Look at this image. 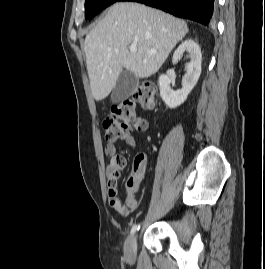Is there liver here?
<instances>
[{
  "instance_id": "obj_1",
  "label": "liver",
  "mask_w": 265,
  "mask_h": 269,
  "mask_svg": "<svg viewBox=\"0 0 265 269\" xmlns=\"http://www.w3.org/2000/svg\"><path fill=\"white\" fill-rule=\"evenodd\" d=\"M185 21L138 3H115L85 38L92 95L106 98L125 68L139 78L155 74L188 33ZM136 46L132 53L129 46ZM154 50V54L147 52Z\"/></svg>"
}]
</instances>
